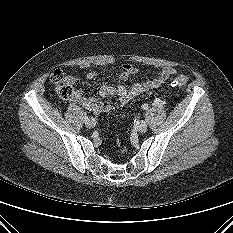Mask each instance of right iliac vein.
<instances>
[{
    "mask_svg": "<svg viewBox=\"0 0 233 233\" xmlns=\"http://www.w3.org/2000/svg\"><path fill=\"white\" fill-rule=\"evenodd\" d=\"M96 125V121L93 118H90L86 121V126L88 128H93Z\"/></svg>",
    "mask_w": 233,
    "mask_h": 233,
    "instance_id": "63e3f726",
    "label": "right iliac vein"
}]
</instances>
